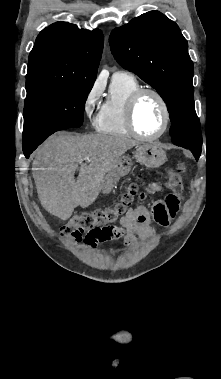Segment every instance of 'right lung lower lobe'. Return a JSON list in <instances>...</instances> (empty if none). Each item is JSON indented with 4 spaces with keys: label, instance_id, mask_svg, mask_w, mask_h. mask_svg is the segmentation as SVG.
<instances>
[{
    "label": "right lung lower lobe",
    "instance_id": "98d812e1",
    "mask_svg": "<svg viewBox=\"0 0 221 379\" xmlns=\"http://www.w3.org/2000/svg\"><path fill=\"white\" fill-rule=\"evenodd\" d=\"M44 141V140H43ZM40 140L39 142L32 141L31 143L23 141V153L26 158H29L30 154L36 149V147L43 142Z\"/></svg>",
    "mask_w": 221,
    "mask_h": 379
}]
</instances>
